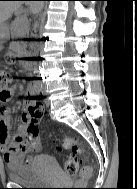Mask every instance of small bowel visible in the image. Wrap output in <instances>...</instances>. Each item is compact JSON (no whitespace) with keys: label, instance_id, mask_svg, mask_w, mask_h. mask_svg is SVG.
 <instances>
[{"label":"small bowel","instance_id":"c3829d8e","mask_svg":"<svg viewBox=\"0 0 137 189\" xmlns=\"http://www.w3.org/2000/svg\"><path fill=\"white\" fill-rule=\"evenodd\" d=\"M34 94L33 87L29 86L27 95ZM6 100L0 99V102ZM33 101L29 100L26 106L32 104ZM11 120V111L8 108L0 107V150L2 152L3 161L8 170L17 171L21 167L27 166L32 161V157L27 155L29 148L23 144V133L25 126L28 125L25 109L21 115L22 126L13 136L9 133Z\"/></svg>","mask_w":137,"mask_h":189}]
</instances>
